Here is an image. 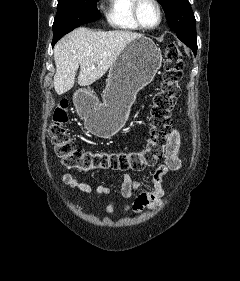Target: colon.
Wrapping results in <instances>:
<instances>
[{"label":"colon","instance_id":"colon-1","mask_svg":"<svg viewBox=\"0 0 240 281\" xmlns=\"http://www.w3.org/2000/svg\"><path fill=\"white\" fill-rule=\"evenodd\" d=\"M182 74L181 50L176 44L171 43L165 50L161 86L152 97L149 115L150 139L143 148L136 151H89L79 148L69 135L68 102L62 100L54 111L49 129L55 154L66 167L82 171H141L154 166L167 153L171 133L170 114L179 96Z\"/></svg>","mask_w":240,"mask_h":281}]
</instances>
